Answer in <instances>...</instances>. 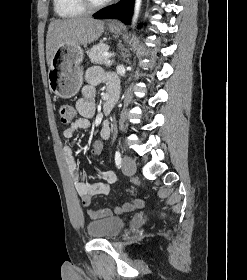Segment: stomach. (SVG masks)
Masks as SVG:
<instances>
[{"label":"stomach","mask_w":247,"mask_h":280,"mask_svg":"<svg viewBox=\"0 0 247 280\" xmlns=\"http://www.w3.org/2000/svg\"><path fill=\"white\" fill-rule=\"evenodd\" d=\"M109 29L114 34L121 33L118 26H110ZM83 58L80 45L64 44L56 50L48 71L51 92L62 98H70L78 93L83 83Z\"/></svg>","instance_id":"1"}]
</instances>
